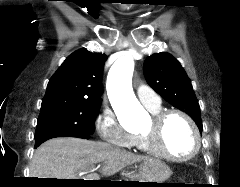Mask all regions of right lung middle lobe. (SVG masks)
Listing matches in <instances>:
<instances>
[{
	"instance_id": "1",
	"label": "right lung middle lobe",
	"mask_w": 240,
	"mask_h": 187,
	"mask_svg": "<svg viewBox=\"0 0 240 187\" xmlns=\"http://www.w3.org/2000/svg\"><path fill=\"white\" fill-rule=\"evenodd\" d=\"M101 103H60L42 106L37 121L35 140L49 135L89 139L94 132Z\"/></svg>"
}]
</instances>
